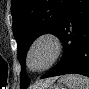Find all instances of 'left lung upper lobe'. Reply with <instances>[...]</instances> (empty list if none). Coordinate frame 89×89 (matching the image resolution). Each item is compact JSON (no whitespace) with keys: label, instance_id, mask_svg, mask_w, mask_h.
Instances as JSON below:
<instances>
[{"label":"left lung upper lobe","instance_id":"5c2ea615","mask_svg":"<svg viewBox=\"0 0 89 89\" xmlns=\"http://www.w3.org/2000/svg\"><path fill=\"white\" fill-rule=\"evenodd\" d=\"M71 0H12L13 34L21 63V89L30 83L26 75L25 57L32 42L44 33L58 36Z\"/></svg>","mask_w":89,"mask_h":89}]
</instances>
